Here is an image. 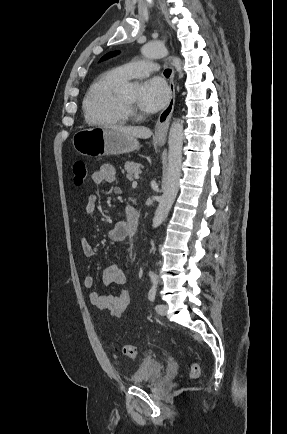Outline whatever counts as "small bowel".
I'll return each mask as SVG.
<instances>
[{"label": "small bowel", "instance_id": "c3829d8e", "mask_svg": "<svg viewBox=\"0 0 287 434\" xmlns=\"http://www.w3.org/2000/svg\"><path fill=\"white\" fill-rule=\"evenodd\" d=\"M91 180L96 185L101 184H113L116 181V170L111 164H103L96 171L91 174ZM98 199L95 195H90L84 206V212L87 216H92L97 210ZM125 208V218L115 224V226L109 230L108 236L114 242H121L127 236V209ZM82 253L86 258L94 256V249L91 243L87 239H83L81 242ZM103 282L107 286L122 285L127 281V274L119 264H111L108 266L102 276ZM83 286L86 289H91L94 286V279L91 276H86L83 279ZM91 304L99 309L105 310L111 313L113 316H121L124 314L132 301L131 295L128 291L122 290L118 293H90Z\"/></svg>", "mask_w": 287, "mask_h": 434}]
</instances>
